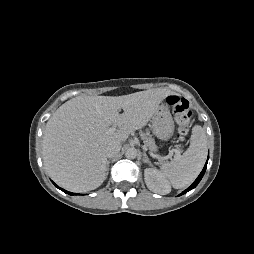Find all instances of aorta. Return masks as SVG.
Masks as SVG:
<instances>
[{
  "label": "aorta",
  "instance_id": "aorta-1",
  "mask_svg": "<svg viewBox=\"0 0 254 254\" xmlns=\"http://www.w3.org/2000/svg\"><path fill=\"white\" fill-rule=\"evenodd\" d=\"M125 156L128 159H134L137 156V149H135L134 147H130L125 151Z\"/></svg>",
  "mask_w": 254,
  "mask_h": 254
}]
</instances>
